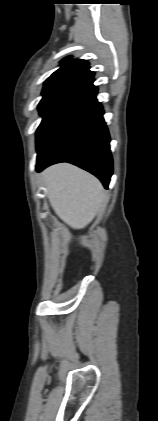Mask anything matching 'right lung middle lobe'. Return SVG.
I'll return each mask as SVG.
<instances>
[{"label":"right lung middle lobe","mask_w":158,"mask_h":421,"mask_svg":"<svg viewBox=\"0 0 158 421\" xmlns=\"http://www.w3.org/2000/svg\"><path fill=\"white\" fill-rule=\"evenodd\" d=\"M79 89L80 87L76 85H60L43 89V98L38 105L43 119L36 133L37 149L45 140L61 109Z\"/></svg>","instance_id":"1"}]
</instances>
